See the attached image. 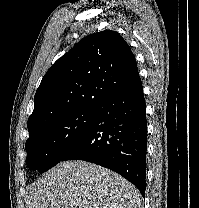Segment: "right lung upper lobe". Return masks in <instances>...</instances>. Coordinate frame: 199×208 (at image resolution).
Wrapping results in <instances>:
<instances>
[{"mask_svg":"<svg viewBox=\"0 0 199 208\" xmlns=\"http://www.w3.org/2000/svg\"><path fill=\"white\" fill-rule=\"evenodd\" d=\"M138 78L134 55L119 33L105 30L88 35L43 77L27 122L28 130L62 113L96 107Z\"/></svg>","mask_w":199,"mask_h":208,"instance_id":"cb5924a9","label":"right lung upper lobe"}]
</instances>
